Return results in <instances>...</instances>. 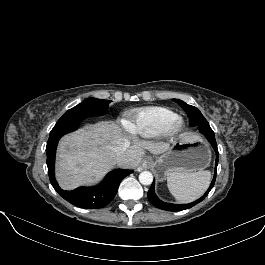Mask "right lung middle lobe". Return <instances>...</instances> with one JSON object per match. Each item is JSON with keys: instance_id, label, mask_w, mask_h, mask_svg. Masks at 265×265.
<instances>
[{"instance_id": "1", "label": "right lung middle lobe", "mask_w": 265, "mask_h": 265, "mask_svg": "<svg viewBox=\"0 0 265 265\" xmlns=\"http://www.w3.org/2000/svg\"><path fill=\"white\" fill-rule=\"evenodd\" d=\"M110 100H102L96 98H87L82 101L77 106L69 109L59 120L58 122L75 118L81 117L86 118L89 116H102L106 114Z\"/></svg>"}]
</instances>
